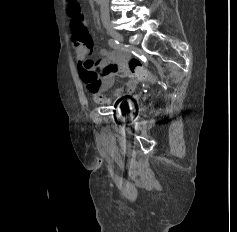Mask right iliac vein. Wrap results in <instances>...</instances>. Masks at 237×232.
Wrapping results in <instances>:
<instances>
[{
    "label": "right iliac vein",
    "instance_id": "63e3f726",
    "mask_svg": "<svg viewBox=\"0 0 237 232\" xmlns=\"http://www.w3.org/2000/svg\"><path fill=\"white\" fill-rule=\"evenodd\" d=\"M106 30L107 32L116 40L123 42V36L117 31L115 30L112 26H106Z\"/></svg>",
    "mask_w": 237,
    "mask_h": 232
}]
</instances>
